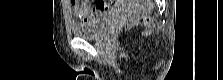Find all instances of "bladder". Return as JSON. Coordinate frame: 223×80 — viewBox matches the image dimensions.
<instances>
[{"instance_id": "obj_1", "label": "bladder", "mask_w": 223, "mask_h": 80, "mask_svg": "<svg viewBox=\"0 0 223 80\" xmlns=\"http://www.w3.org/2000/svg\"><path fill=\"white\" fill-rule=\"evenodd\" d=\"M110 16L111 14L106 12L84 22L73 23L71 25V31L76 37L86 40L95 39L106 27Z\"/></svg>"}]
</instances>
